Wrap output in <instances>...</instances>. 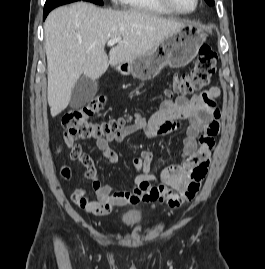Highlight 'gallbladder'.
Wrapping results in <instances>:
<instances>
[{
  "mask_svg": "<svg viewBox=\"0 0 265 269\" xmlns=\"http://www.w3.org/2000/svg\"><path fill=\"white\" fill-rule=\"evenodd\" d=\"M98 83L85 76L80 77L71 94L69 105L73 109H78L91 101L97 93Z\"/></svg>",
  "mask_w": 265,
  "mask_h": 269,
  "instance_id": "bac80fb5",
  "label": "gallbladder"
}]
</instances>
